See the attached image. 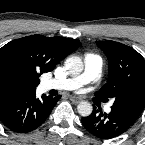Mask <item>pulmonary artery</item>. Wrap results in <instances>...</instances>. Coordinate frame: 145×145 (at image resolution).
<instances>
[{
    "instance_id": "pulmonary-artery-1",
    "label": "pulmonary artery",
    "mask_w": 145,
    "mask_h": 145,
    "mask_svg": "<svg viewBox=\"0 0 145 145\" xmlns=\"http://www.w3.org/2000/svg\"><path fill=\"white\" fill-rule=\"evenodd\" d=\"M84 64L85 68L82 74L72 78L47 79L43 82L42 88L44 90H73L98 80L102 71L101 58L96 54L88 53L85 55ZM105 110L109 112L111 110L110 106H106Z\"/></svg>"
}]
</instances>
